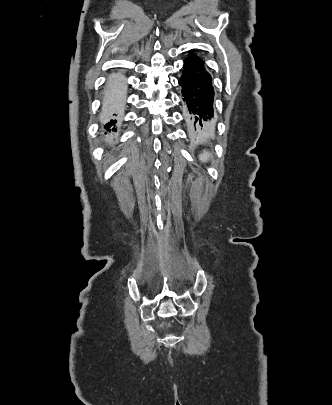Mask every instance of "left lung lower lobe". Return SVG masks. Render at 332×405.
<instances>
[{"mask_svg": "<svg viewBox=\"0 0 332 405\" xmlns=\"http://www.w3.org/2000/svg\"><path fill=\"white\" fill-rule=\"evenodd\" d=\"M179 84L182 87L184 115L191 131L200 133L214 123V90L204 61L193 51L185 59Z\"/></svg>", "mask_w": 332, "mask_h": 405, "instance_id": "left-lung-lower-lobe-1", "label": "left lung lower lobe"}]
</instances>
